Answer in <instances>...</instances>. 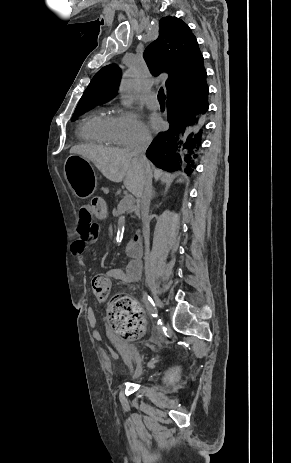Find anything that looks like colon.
Listing matches in <instances>:
<instances>
[{"mask_svg":"<svg viewBox=\"0 0 291 463\" xmlns=\"http://www.w3.org/2000/svg\"><path fill=\"white\" fill-rule=\"evenodd\" d=\"M92 207L98 216H104L107 212L106 202L102 198H95ZM91 288L96 299L105 301L112 291L111 280L105 275L93 277ZM108 320L112 330L124 337L134 338L140 336L144 329V317L140 305L128 296H114L108 306Z\"/></svg>","mask_w":291,"mask_h":463,"instance_id":"obj_1","label":"colon"}]
</instances>
